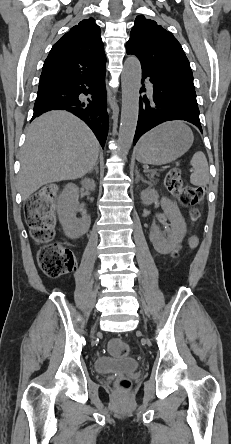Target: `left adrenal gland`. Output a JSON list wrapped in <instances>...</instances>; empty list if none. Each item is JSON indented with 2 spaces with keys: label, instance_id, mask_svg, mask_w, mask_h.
Masks as SVG:
<instances>
[{
  "label": "left adrenal gland",
  "instance_id": "1",
  "mask_svg": "<svg viewBox=\"0 0 231 444\" xmlns=\"http://www.w3.org/2000/svg\"><path fill=\"white\" fill-rule=\"evenodd\" d=\"M135 174H136V179H135L136 183H138L141 180L142 182H145V183L149 184V182L147 180H145L142 176H140L137 167H136V170H135Z\"/></svg>",
  "mask_w": 231,
  "mask_h": 444
}]
</instances>
